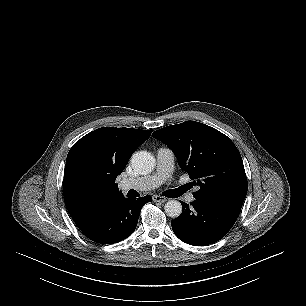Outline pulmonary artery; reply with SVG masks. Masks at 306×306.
I'll return each mask as SVG.
<instances>
[{
	"mask_svg": "<svg viewBox=\"0 0 306 306\" xmlns=\"http://www.w3.org/2000/svg\"><path fill=\"white\" fill-rule=\"evenodd\" d=\"M174 153L169 148H159L156 152V170L153 174L137 178L123 179L119 183L122 191L130 189L138 191L152 190L161 185L170 175L174 165ZM187 202L194 201V196L189 193L186 197Z\"/></svg>",
	"mask_w": 306,
	"mask_h": 306,
	"instance_id": "pulmonary-artery-1",
	"label": "pulmonary artery"
}]
</instances>
